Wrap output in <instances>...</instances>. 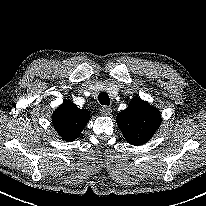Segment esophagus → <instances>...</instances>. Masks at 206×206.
Returning <instances> with one entry per match:
<instances>
[{
	"instance_id": "1",
	"label": "esophagus",
	"mask_w": 206,
	"mask_h": 206,
	"mask_svg": "<svg viewBox=\"0 0 206 206\" xmlns=\"http://www.w3.org/2000/svg\"><path fill=\"white\" fill-rule=\"evenodd\" d=\"M100 113L104 116H109L112 113V109L111 107H108V106H102L100 108Z\"/></svg>"
}]
</instances>
